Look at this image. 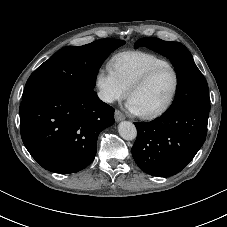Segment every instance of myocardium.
Returning <instances> with one entry per match:
<instances>
[{
  "mask_svg": "<svg viewBox=\"0 0 227 227\" xmlns=\"http://www.w3.org/2000/svg\"><path fill=\"white\" fill-rule=\"evenodd\" d=\"M163 69H169L172 71L173 75H174V87L172 90V93L170 95V97L168 98V100L165 102V104L163 106H161L160 108L151 111V112H140L138 113L142 118L145 119H152V118H156L162 114H164L173 104L179 87H180V77L178 74V71L176 70V68L174 66H172L171 64H165V65H160L157 67H154L152 69H150L149 71H147L145 74H143L139 79H137L128 89V97L130 98L131 95L138 89L142 88L143 86H145L158 72H160Z\"/></svg>",
  "mask_w": 227,
  "mask_h": 227,
  "instance_id": "myocardium-1",
  "label": "myocardium"
}]
</instances>
